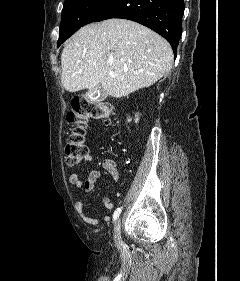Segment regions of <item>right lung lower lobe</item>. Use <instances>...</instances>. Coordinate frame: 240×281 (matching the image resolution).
Listing matches in <instances>:
<instances>
[{
	"mask_svg": "<svg viewBox=\"0 0 240 281\" xmlns=\"http://www.w3.org/2000/svg\"><path fill=\"white\" fill-rule=\"evenodd\" d=\"M183 12V0H116L94 22L110 18L138 22L163 36L176 54Z\"/></svg>",
	"mask_w": 240,
	"mask_h": 281,
	"instance_id": "obj_1",
	"label": "right lung lower lobe"
}]
</instances>
